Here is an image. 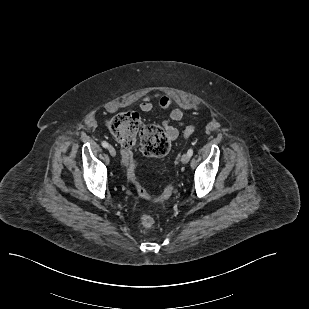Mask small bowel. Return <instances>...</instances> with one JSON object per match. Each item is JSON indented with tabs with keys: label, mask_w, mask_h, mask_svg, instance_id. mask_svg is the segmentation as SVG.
<instances>
[{
	"label": "small bowel",
	"mask_w": 309,
	"mask_h": 309,
	"mask_svg": "<svg viewBox=\"0 0 309 309\" xmlns=\"http://www.w3.org/2000/svg\"><path fill=\"white\" fill-rule=\"evenodd\" d=\"M153 100H157L158 106L164 110H169L173 105V99L168 95H162L155 93L153 95H147L142 99L140 103V110L143 112H151L154 109ZM184 112L180 108H173L169 113V118L163 123L164 130L169 140H175L179 135L177 127L171 123H177L179 127L183 126Z\"/></svg>",
	"instance_id": "small-bowel-1"
}]
</instances>
